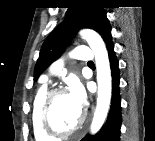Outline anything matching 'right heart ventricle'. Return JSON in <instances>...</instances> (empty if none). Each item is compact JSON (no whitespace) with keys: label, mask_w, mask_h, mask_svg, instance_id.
I'll use <instances>...</instances> for the list:
<instances>
[{"label":"right heart ventricle","mask_w":155,"mask_h":141,"mask_svg":"<svg viewBox=\"0 0 155 141\" xmlns=\"http://www.w3.org/2000/svg\"><path fill=\"white\" fill-rule=\"evenodd\" d=\"M47 92L46 85H43L36 93L31 115L32 129L37 141H50L53 137L47 135L40 126L39 113L42 100Z\"/></svg>","instance_id":"right-heart-ventricle-1"}]
</instances>
